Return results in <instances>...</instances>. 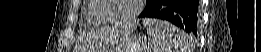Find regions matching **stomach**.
Here are the masks:
<instances>
[{
    "label": "stomach",
    "instance_id": "stomach-1",
    "mask_svg": "<svg viewBox=\"0 0 261 52\" xmlns=\"http://www.w3.org/2000/svg\"><path fill=\"white\" fill-rule=\"evenodd\" d=\"M144 46V40L141 36H134L128 39L126 42L121 43L117 47H114V52H142Z\"/></svg>",
    "mask_w": 261,
    "mask_h": 52
}]
</instances>
